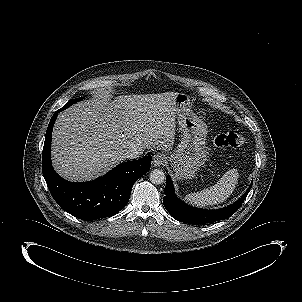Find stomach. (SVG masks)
Here are the masks:
<instances>
[{
	"label": "stomach",
	"instance_id": "0dacf381",
	"mask_svg": "<svg viewBox=\"0 0 302 302\" xmlns=\"http://www.w3.org/2000/svg\"><path fill=\"white\" fill-rule=\"evenodd\" d=\"M175 108L182 139L169 157L170 165L177 180L193 179L206 161L207 126L191 110L187 94H177Z\"/></svg>",
	"mask_w": 302,
	"mask_h": 302
}]
</instances>
